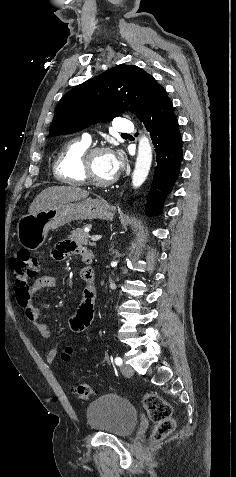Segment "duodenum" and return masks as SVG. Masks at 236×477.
I'll use <instances>...</instances> for the list:
<instances>
[{
  "mask_svg": "<svg viewBox=\"0 0 236 477\" xmlns=\"http://www.w3.org/2000/svg\"><path fill=\"white\" fill-rule=\"evenodd\" d=\"M92 262H93V258H90V259L87 261V263H89V264H91ZM91 282H92V283L94 282V278L92 279Z\"/></svg>",
  "mask_w": 236,
  "mask_h": 477,
  "instance_id": "obj_1",
  "label": "duodenum"
}]
</instances>
